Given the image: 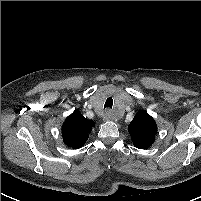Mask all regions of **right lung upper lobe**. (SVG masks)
<instances>
[{"label":"right lung upper lobe","mask_w":201,"mask_h":201,"mask_svg":"<svg viewBox=\"0 0 201 201\" xmlns=\"http://www.w3.org/2000/svg\"><path fill=\"white\" fill-rule=\"evenodd\" d=\"M94 122L85 118L78 110L68 116L62 126L63 141L68 147L78 149L88 139Z\"/></svg>","instance_id":"1"}]
</instances>
